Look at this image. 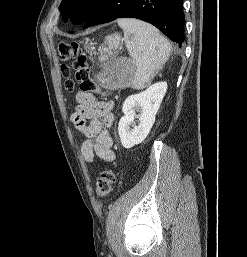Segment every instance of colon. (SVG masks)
<instances>
[{
    "label": "colon",
    "instance_id": "colon-1",
    "mask_svg": "<svg viewBox=\"0 0 247 257\" xmlns=\"http://www.w3.org/2000/svg\"><path fill=\"white\" fill-rule=\"evenodd\" d=\"M58 57L62 63L61 71L67 78L65 87L68 91L74 89V81L69 78L70 67L67 65L69 61H72V67L75 70V77L79 83L81 91L101 93V90L92 78L89 66L86 61V57L82 52L77 42L61 43L58 46ZM116 182V174L113 169L104 170L96 184V193L100 197L107 196Z\"/></svg>",
    "mask_w": 247,
    "mask_h": 257
}]
</instances>
